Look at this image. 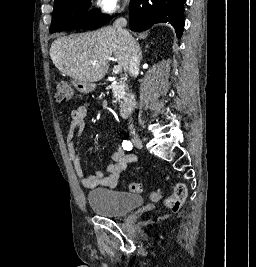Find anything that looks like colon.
Here are the masks:
<instances>
[{
    "instance_id": "colon-1",
    "label": "colon",
    "mask_w": 256,
    "mask_h": 267,
    "mask_svg": "<svg viewBox=\"0 0 256 267\" xmlns=\"http://www.w3.org/2000/svg\"><path fill=\"white\" fill-rule=\"evenodd\" d=\"M56 98L59 101H72L75 99L73 85L69 82L60 81L56 86ZM128 191L134 194L142 192V185L137 182H131L127 186ZM159 188H154L151 194L152 199L158 200ZM187 186L183 182H177L174 185L173 193L166 199V205L172 212H177L185 199L187 198Z\"/></svg>"
}]
</instances>
